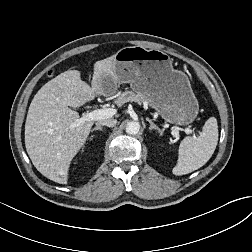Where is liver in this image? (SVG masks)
Returning a JSON list of instances; mask_svg holds the SVG:
<instances>
[{
    "instance_id": "liver-1",
    "label": "liver",
    "mask_w": 252,
    "mask_h": 252,
    "mask_svg": "<svg viewBox=\"0 0 252 252\" xmlns=\"http://www.w3.org/2000/svg\"><path fill=\"white\" fill-rule=\"evenodd\" d=\"M115 56L97 61L91 87L78 70H68L48 81L34 96L25 123L26 151L35 168L48 179L67 184L72 159L85 144L92 121L77 126L78 108L104 95L102 75L114 74Z\"/></svg>"
}]
</instances>
